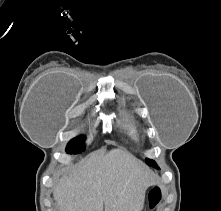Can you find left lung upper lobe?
<instances>
[{
  "instance_id": "obj_1",
  "label": "left lung upper lobe",
  "mask_w": 221,
  "mask_h": 211,
  "mask_svg": "<svg viewBox=\"0 0 221 211\" xmlns=\"http://www.w3.org/2000/svg\"><path fill=\"white\" fill-rule=\"evenodd\" d=\"M146 163H147L148 165H150V166H153V167L158 168V166L156 165L155 161H153V160L147 159V160H146Z\"/></svg>"
}]
</instances>
